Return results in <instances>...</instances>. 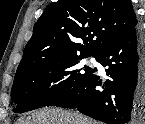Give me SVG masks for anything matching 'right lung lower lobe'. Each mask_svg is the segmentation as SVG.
Segmentation results:
<instances>
[{
  "mask_svg": "<svg viewBox=\"0 0 145 124\" xmlns=\"http://www.w3.org/2000/svg\"><path fill=\"white\" fill-rule=\"evenodd\" d=\"M95 58L106 67L105 81L95 68L46 106L75 108L107 124H136L145 113V35L137 25L105 45Z\"/></svg>",
  "mask_w": 145,
  "mask_h": 124,
  "instance_id": "obj_1",
  "label": "right lung lower lobe"
}]
</instances>
